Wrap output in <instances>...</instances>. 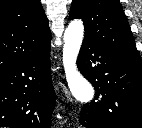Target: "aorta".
Instances as JSON below:
<instances>
[{"instance_id":"obj_1","label":"aorta","mask_w":142,"mask_h":128,"mask_svg":"<svg viewBox=\"0 0 142 128\" xmlns=\"http://www.w3.org/2000/svg\"><path fill=\"white\" fill-rule=\"evenodd\" d=\"M84 37V25L81 20L69 23L63 36V65L68 87L76 100L82 103L92 101L94 89L92 85L80 74L76 61Z\"/></svg>"}]
</instances>
